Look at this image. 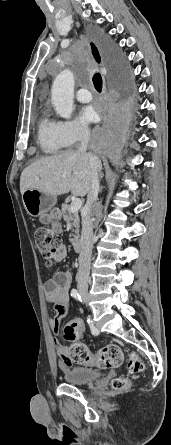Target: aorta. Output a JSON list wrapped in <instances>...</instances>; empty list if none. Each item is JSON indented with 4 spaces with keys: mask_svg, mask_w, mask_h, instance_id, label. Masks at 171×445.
Returning a JSON list of instances; mask_svg holds the SVG:
<instances>
[{
    "mask_svg": "<svg viewBox=\"0 0 171 445\" xmlns=\"http://www.w3.org/2000/svg\"><path fill=\"white\" fill-rule=\"evenodd\" d=\"M74 76L69 69L57 75L52 85V104L60 117L70 119L73 112Z\"/></svg>",
    "mask_w": 171,
    "mask_h": 445,
    "instance_id": "762f6f07",
    "label": "aorta"
}]
</instances>
